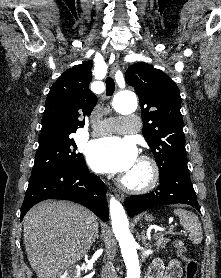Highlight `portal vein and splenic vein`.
I'll use <instances>...</instances> for the list:
<instances>
[{"mask_svg": "<svg viewBox=\"0 0 221 278\" xmlns=\"http://www.w3.org/2000/svg\"><path fill=\"white\" fill-rule=\"evenodd\" d=\"M169 231L172 232V231H173V228H170ZM154 236H155V235H154Z\"/></svg>", "mask_w": 221, "mask_h": 278, "instance_id": "obj_1", "label": "portal vein and splenic vein"}]
</instances>
